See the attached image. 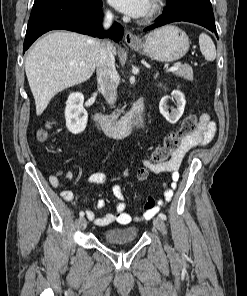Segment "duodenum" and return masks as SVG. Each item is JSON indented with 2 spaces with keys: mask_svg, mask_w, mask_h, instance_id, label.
Returning a JSON list of instances; mask_svg holds the SVG:
<instances>
[{
  "mask_svg": "<svg viewBox=\"0 0 247 296\" xmlns=\"http://www.w3.org/2000/svg\"><path fill=\"white\" fill-rule=\"evenodd\" d=\"M144 108L145 100L143 98H139L131 112L120 119H113L101 112H95L94 118L111 136L122 138L129 136L134 132L138 126L140 118L143 115Z\"/></svg>",
  "mask_w": 247,
  "mask_h": 296,
  "instance_id": "410a0bca",
  "label": "duodenum"
}]
</instances>
